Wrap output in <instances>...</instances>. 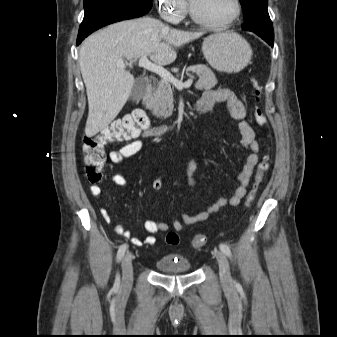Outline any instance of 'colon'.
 <instances>
[{"instance_id":"colon-1","label":"colon","mask_w":337,"mask_h":337,"mask_svg":"<svg viewBox=\"0 0 337 337\" xmlns=\"http://www.w3.org/2000/svg\"><path fill=\"white\" fill-rule=\"evenodd\" d=\"M253 93L256 101L253 116L257 125L267 124L263 110L258 105L261 99L263 85L253 78ZM141 121H136L133 116H126L115 120L107 127L95 135L85 136L82 144L83 160L85 165V174L88 181L93 185H99L102 181V168L106 161L105 146L108 144L122 142L138 134ZM270 166V156L268 150L262 155L257 165V171L252 181L250 190L246 196L245 206H249L256 196L260 183ZM165 241L169 245L179 243V235L174 231H169L165 235ZM207 242L203 234L195 235L191 240V246L195 249L201 248Z\"/></svg>"}]
</instances>
